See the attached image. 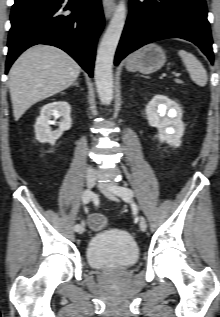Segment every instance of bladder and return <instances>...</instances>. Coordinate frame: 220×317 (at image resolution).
<instances>
[{
	"label": "bladder",
	"instance_id": "1",
	"mask_svg": "<svg viewBox=\"0 0 220 317\" xmlns=\"http://www.w3.org/2000/svg\"><path fill=\"white\" fill-rule=\"evenodd\" d=\"M139 257L135 240L121 229L98 232L86 246L87 263L97 270H124L136 264Z\"/></svg>",
	"mask_w": 220,
	"mask_h": 317
}]
</instances>
